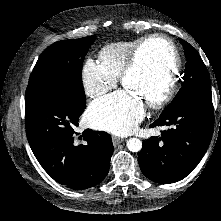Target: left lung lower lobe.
Listing matches in <instances>:
<instances>
[{"label": "left lung lower lobe", "mask_w": 221, "mask_h": 221, "mask_svg": "<svg viewBox=\"0 0 221 221\" xmlns=\"http://www.w3.org/2000/svg\"><path fill=\"white\" fill-rule=\"evenodd\" d=\"M165 126L161 136L143 141L138 160L150 180L169 184L189 175L204 156L214 128L212 101L196 100L161 114L150 127Z\"/></svg>", "instance_id": "0a47b994"}]
</instances>
